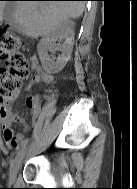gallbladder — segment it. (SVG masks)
<instances>
[{
  "label": "gallbladder",
  "instance_id": "1",
  "mask_svg": "<svg viewBox=\"0 0 137 189\" xmlns=\"http://www.w3.org/2000/svg\"><path fill=\"white\" fill-rule=\"evenodd\" d=\"M16 9V2H8L4 9H3V15L9 24L10 31H15L17 29V23L14 21L13 14Z\"/></svg>",
  "mask_w": 137,
  "mask_h": 189
}]
</instances>
